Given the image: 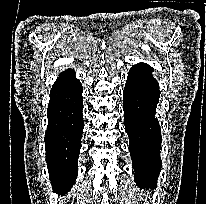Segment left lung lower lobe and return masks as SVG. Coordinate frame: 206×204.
<instances>
[{"instance_id": "1", "label": "left lung lower lobe", "mask_w": 206, "mask_h": 204, "mask_svg": "<svg viewBox=\"0 0 206 204\" xmlns=\"http://www.w3.org/2000/svg\"><path fill=\"white\" fill-rule=\"evenodd\" d=\"M152 72L153 68L145 63L130 69L123 93V110L134 179L141 187L153 189L162 165V136L155 117L160 91Z\"/></svg>"}]
</instances>
